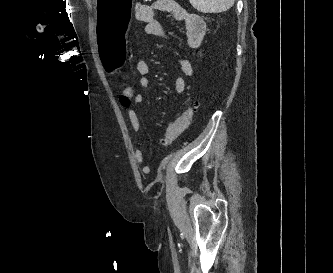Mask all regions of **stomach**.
<instances>
[{
  "label": "stomach",
  "mask_w": 333,
  "mask_h": 273,
  "mask_svg": "<svg viewBox=\"0 0 333 273\" xmlns=\"http://www.w3.org/2000/svg\"><path fill=\"white\" fill-rule=\"evenodd\" d=\"M93 9L96 38H127L134 23V0H95ZM96 51L101 64L109 66L108 74L116 75L118 65L128 64L126 39H97Z\"/></svg>",
  "instance_id": "stomach-1"
}]
</instances>
